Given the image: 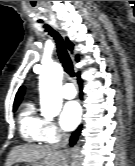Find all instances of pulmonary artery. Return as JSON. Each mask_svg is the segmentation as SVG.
I'll return each mask as SVG.
<instances>
[{"mask_svg":"<svg viewBox=\"0 0 135 166\" xmlns=\"http://www.w3.org/2000/svg\"><path fill=\"white\" fill-rule=\"evenodd\" d=\"M62 96L66 99H72L76 96V89L73 84L66 82L62 87Z\"/></svg>","mask_w":135,"mask_h":166,"instance_id":"e3ab8cb5","label":"pulmonary artery"}]
</instances>
